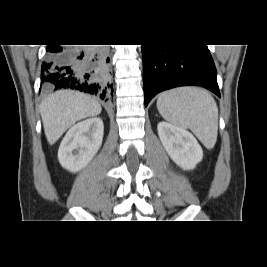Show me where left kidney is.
<instances>
[{
	"instance_id": "5707ae66",
	"label": "left kidney",
	"mask_w": 267,
	"mask_h": 267,
	"mask_svg": "<svg viewBox=\"0 0 267 267\" xmlns=\"http://www.w3.org/2000/svg\"><path fill=\"white\" fill-rule=\"evenodd\" d=\"M157 129L166 152L182 169L192 170L202 160L203 150L189 131L167 122H160Z\"/></svg>"
}]
</instances>
